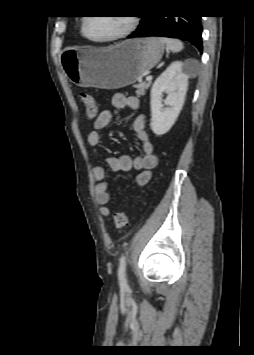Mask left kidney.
<instances>
[{
    "label": "left kidney",
    "mask_w": 254,
    "mask_h": 355,
    "mask_svg": "<svg viewBox=\"0 0 254 355\" xmlns=\"http://www.w3.org/2000/svg\"><path fill=\"white\" fill-rule=\"evenodd\" d=\"M189 76L184 72V63L175 61L156 79L151 89V129L156 135L167 133L182 110ZM167 93L164 100L163 93Z\"/></svg>",
    "instance_id": "obj_1"
}]
</instances>
